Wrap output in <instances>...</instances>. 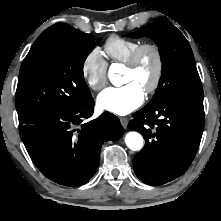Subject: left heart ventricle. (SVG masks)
Returning <instances> with one entry per match:
<instances>
[{
	"label": "left heart ventricle",
	"mask_w": 221,
	"mask_h": 221,
	"mask_svg": "<svg viewBox=\"0 0 221 221\" xmlns=\"http://www.w3.org/2000/svg\"><path fill=\"white\" fill-rule=\"evenodd\" d=\"M155 71V60L154 56L151 52H147L135 70H130L126 68L123 82H135L137 83L143 90L145 87L152 81L153 75Z\"/></svg>",
	"instance_id": "1"
}]
</instances>
